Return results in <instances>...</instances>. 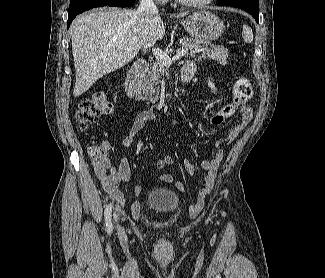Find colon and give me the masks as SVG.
I'll return each instance as SVG.
<instances>
[{"label":"colon","instance_id":"obj_1","mask_svg":"<svg viewBox=\"0 0 325 278\" xmlns=\"http://www.w3.org/2000/svg\"><path fill=\"white\" fill-rule=\"evenodd\" d=\"M233 95V104H228L215 113L210 119L211 125L217 126L225 122L234 114L236 106L245 103L252 97L253 86L251 82L244 77L237 78L233 85ZM113 107L114 104L103 94H94L92 97L80 101L76 112V120L81 129L87 130L95 125L100 116L109 114L113 110ZM108 149L109 147L104 143L91 146L89 148V154L92 161L95 164H99L106 156ZM199 209L200 204H197L194 207V211L198 212Z\"/></svg>","mask_w":325,"mask_h":278}]
</instances>
